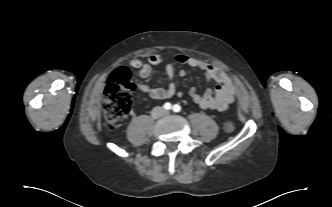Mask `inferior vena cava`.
<instances>
[{"label":"inferior vena cava","mask_w":332,"mask_h":207,"mask_svg":"<svg viewBox=\"0 0 332 207\" xmlns=\"http://www.w3.org/2000/svg\"><path fill=\"white\" fill-rule=\"evenodd\" d=\"M165 113V110L162 107H155L153 108L151 114L153 118H158Z\"/></svg>","instance_id":"inferior-vena-cava-1"}]
</instances>
